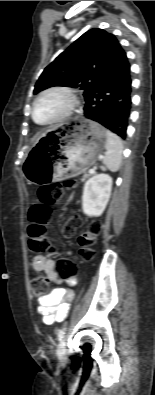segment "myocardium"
Wrapping results in <instances>:
<instances>
[{"instance_id": "1", "label": "myocardium", "mask_w": 155, "mask_h": 395, "mask_svg": "<svg viewBox=\"0 0 155 395\" xmlns=\"http://www.w3.org/2000/svg\"><path fill=\"white\" fill-rule=\"evenodd\" d=\"M48 95H60L65 98L66 105L63 111L47 122H38L35 118V109L38 102ZM79 104L78 97L73 89L66 86H52L42 90L33 100L30 110L31 119L39 126L47 127L57 125L67 120L75 111Z\"/></svg>"}]
</instances>
